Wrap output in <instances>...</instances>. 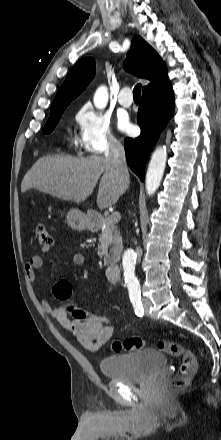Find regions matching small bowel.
I'll return each mask as SVG.
<instances>
[{
	"label": "small bowel",
	"instance_id": "small-bowel-1",
	"mask_svg": "<svg viewBox=\"0 0 221 440\" xmlns=\"http://www.w3.org/2000/svg\"><path fill=\"white\" fill-rule=\"evenodd\" d=\"M48 250L49 248H42L43 252ZM72 262L75 266L82 265L84 262L83 255L80 253L74 254ZM42 266L43 259L39 255L31 256L25 266V275L33 286L37 285V272ZM40 305L52 319L56 320L64 330L87 350L97 351L103 349L112 338L114 327L107 328L104 324H96L95 321H86L84 318H78L77 321H68L66 319V309L62 306L52 307L45 298L40 299Z\"/></svg>",
	"mask_w": 221,
	"mask_h": 440
}]
</instances>
